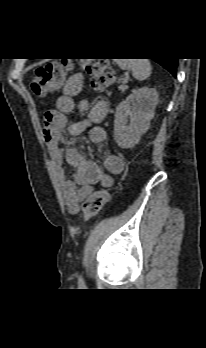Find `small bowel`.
<instances>
[{"label":"small bowel","mask_w":206,"mask_h":348,"mask_svg":"<svg viewBox=\"0 0 206 348\" xmlns=\"http://www.w3.org/2000/svg\"><path fill=\"white\" fill-rule=\"evenodd\" d=\"M85 76L77 73L65 83L62 94L56 99L55 109L44 114L42 135L47 144L52 160L54 174L62 190L66 207L71 214H77L83 199L92 191L96 184L111 187L114 175L122 173L124 162L115 153L104 156L105 171L87 159L74 148H63L62 131L67 127L70 136H78L88 131L91 142L103 144L106 142V132L100 126L107 114V104L103 100L89 106L86 99H76L83 88ZM87 112L84 119L68 124L67 114ZM72 167L74 180H68L63 163Z\"/></svg>","instance_id":"obj_1"}]
</instances>
